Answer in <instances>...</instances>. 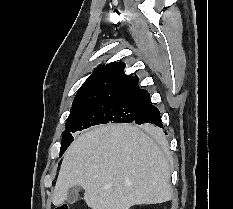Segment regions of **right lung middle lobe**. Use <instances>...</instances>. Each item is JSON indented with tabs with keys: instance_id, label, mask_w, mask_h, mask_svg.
Segmentation results:
<instances>
[{
	"instance_id": "right-lung-middle-lobe-1",
	"label": "right lung middle lobe",
	"mask_w": 233,
	"mask_h": 209,
	"mask_svg": "<svg viewBox=\"0 0 233 209\" xmlns=\"http://www.w3.org/2000/svg\"><path fill=\"white\" fill-rule=\"evenodd\" d=\"M147 105L120 101H104L82 105L71 109L63 132L61 157L74 140V134L94 125L105 123H132ZM143 129L148 127L143 126Z\"/></svg>"
}]
</instances>
